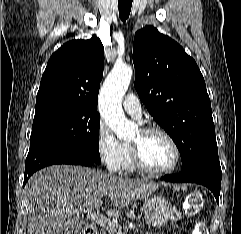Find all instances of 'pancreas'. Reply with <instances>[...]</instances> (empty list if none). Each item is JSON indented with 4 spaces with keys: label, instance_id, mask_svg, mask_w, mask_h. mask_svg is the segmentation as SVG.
<instances>
[{
    "label": "pancreas",
    "instance_id": "cf45deb5",
    "mask_svg": "<svg viewBox=\"0 0 241 234\" xmlns=\"http://www.w3.org/2000/svg\"><path fill=\"white\" fill-rule=\"evenodd\" d=\"M103 234H122L121 229L119 230H114V229H106ZM147 234H152V233H147Z\"/></svg>",
    "mask_w": 241,
    "mask_h": 234
}]
</instances>
